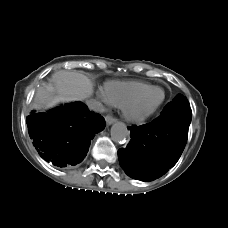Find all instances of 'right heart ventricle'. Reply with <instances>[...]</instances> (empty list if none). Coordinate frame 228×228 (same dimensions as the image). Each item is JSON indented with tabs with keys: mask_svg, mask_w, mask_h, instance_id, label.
<instances>
[{
	"mask_svg": "<svg viewBox=\"0 0 228 228\" xmlns=\"http://www.w3.org/2000/svg\"><path fill=\"white\" fill-rule=\"evenodd\" d=\"M148 87L149 84L141 81H109L104 84L103 92L109 104L122 107L126 101Z\"/></svg>",
	"mask_w": 228,
	"mask_h": 228,
	"instance_id": "right-heart-ventricle-1",
	"label": "right heart ventricle"
}]
</instances>
